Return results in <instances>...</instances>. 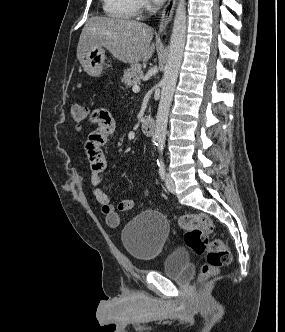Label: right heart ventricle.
I'll use <instances>...</instances> for the list:
<instances>
[{
  "label": "right heart ventricle",
  "instance_id": "e07e8e85",
  "mask_svg": "<svg viewBox=\"0 0 285 332\" xmlns=\"http://www.w3.org/2000/svg\"><path fill=\"white\" fill-rule=\"evenodd\" d=\"M141 0H102L104 13L117 20H132L137 17Z\"/></svg>",
  "mask_w": 285,
  "mask_h": 332
}]
</instances>
